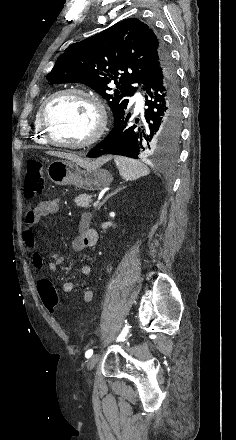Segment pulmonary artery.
<instances>
[{
    "label": "pulmonary artery",
    "instance_id": "e3ab8cb5",
    "mask_svg": "<svg viewBox=\"0 0 236 440\" xmlns=\"http://www.w3.org/2000/svg\"><path fill=\"white\" fill-rule=\"evenodd\" d=\"M133 100L136 102V108H137V110H141V109H142V103H143V101H142V96L140 95V93H137V94L134 96Z\"/></svg>",
    "mask_w": 236,
    "mask_h": 440
}]
</instances>
